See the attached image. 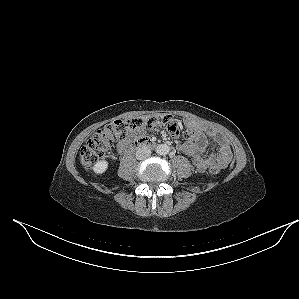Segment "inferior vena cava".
<instances>
[{
    "label": "inferior vena cava",
    "instance_id": "inferior-vena-cava-1",
    "mask_svg": "<svg viewBox=\"0 0 299 299\" xmlns=\"http://www.w3.org/2000/svg\"><path fill=\"white\" fill-rule=\"evenodd\" d=\"M151 156V150L147 146L140 147L136 152V158L138 160H144Z\"/></svg>",
    "mask_w": 299,
    "mask_h": 299
}]
</instances>
